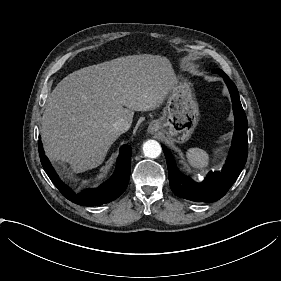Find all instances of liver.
Returning a JSON list of instances; mask_svg holds the SVG:
<instances>
[{
    "label": "liver",
    "instance_id": "6515ba94",
    "mask_svg": "<svg viewBox=\"0 0 281 281\" xmlns=\"http://www.w3.org/2000/svg\"><path fill=\"white\" fill-rule=\"evenodd\" d=\"M177 86L170 61L160 55L119 57L72 72L47 100L41 128L46 155L76 173L99 166L121 135L113 124H131L134 111L158 108Z\"/></svg>",
    "mask_w": 281,
    "mask_h": 281
}]
</instances>
